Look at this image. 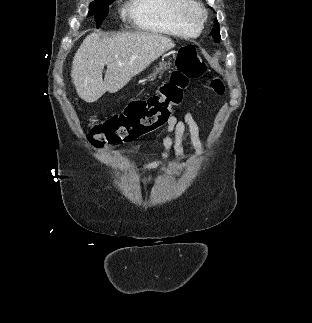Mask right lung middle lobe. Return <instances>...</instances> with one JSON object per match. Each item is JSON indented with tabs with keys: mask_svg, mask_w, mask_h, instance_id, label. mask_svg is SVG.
<instances>
[{
	"mask_svg": "<svg viewBox=\"0 0 312 323\" xmlns=\"http://www.w3.org/2000/svg\"><path fill=\"white\" fill-rule=\"evenodd\" d=\"M114 0H110L108 2H92L89 5V12L88 15H94L95 16V20H96V25L99 28L102 24V22L104 21L105 17L107 16L108 12H109V4L111 2H113Z\"/></svg>",
	"mask_w": 312,
	"mask_h": 323,
	"instance_id": "1",
	"label": "right lung middle lobe"
}]
</instances>
